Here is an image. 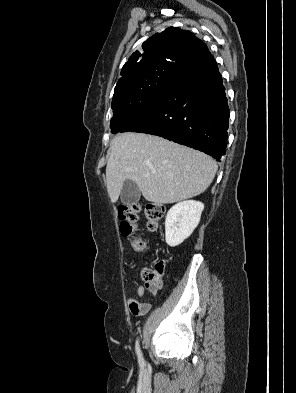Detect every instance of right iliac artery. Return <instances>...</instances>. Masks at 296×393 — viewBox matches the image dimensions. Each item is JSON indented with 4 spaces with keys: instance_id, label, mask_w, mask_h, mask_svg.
Returning a JSON list of instances; mask_svg holds the SVG:
<instances>
[{
    "instance_id": "obj_1",
    "label": "right iliac artery",
    "mask_w": 296,
    "mask_h": 393,
    "mask_svg": "<svg viewBox=\"0 0 296 393\" xmlns=\"http://www.w3.org/2000/svg\"><path fill=\"white\" fill-rule=\"evenodd\" d=\"M136 353H137V356H138L139 364L143 365L144 364V359H143V356H142V353H141V350H140L138 339L136 340Z\"/></svg>"
}]
</instances>
